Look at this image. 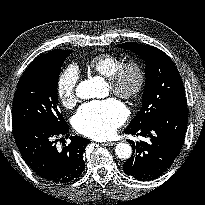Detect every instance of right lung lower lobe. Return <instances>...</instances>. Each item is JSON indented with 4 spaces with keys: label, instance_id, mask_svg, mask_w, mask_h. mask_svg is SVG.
I'll return each instance as SVG.
<instances>
[{
    "label": "right lung lower lobe",
    "instance_id": "98d812e1",
    "mask_svg": "<svg viewBox=\"0 0 205 205\" xmlns=\"http://www.w3.org/2000/svg\"><path fill=\"white\" fill-rule=\"evenodd\" d=\"M69 132L67 123L61 127L28 121L13 123V134L19 151L27 165L38 176L52 183H67L85 169L83 151L90 141L70 136L71 142L58 150L57 136Z\"/></svg>",
    "mask_w": 205,
    "mask_h": 205
}]
</instances>
